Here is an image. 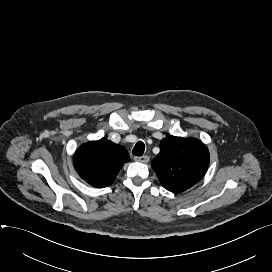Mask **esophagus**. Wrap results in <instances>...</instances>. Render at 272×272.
Here are the masks:
<instances>
[{
	"label": "esophagus",
	"mask_w": 272,
	"mask_h": 272,
	"mask_svg": "<svg viewBox=\"0 0 272 272\" xmlns=\"http://www.w3.org/2000/svg\"><path fill=\"white\" fill-rule=\"evenodd\" d=\"M134 159L138 162H141V163H148L149 162V157L147 155L135 157Z\"/></svg>",
	"instance_id": "34e87169"
}]
</instances>
